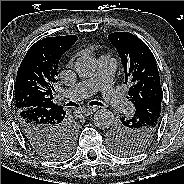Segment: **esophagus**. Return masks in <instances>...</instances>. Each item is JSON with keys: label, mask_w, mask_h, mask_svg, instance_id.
I'll return each instance as SVG.
<instances>
[{"label": "esophagus", "mask_w": 184, "mask_h": 184, "mask_svg": "<svg viewBox=\"0 0 184 184\" xmlns=\"http://www.w3.org/2000/svg\"><path fill=\"white\" fill-rule=\"evenodd\" d=\"M97 109H98L97 107L83 108V109L80 110V113L82 115L87 116V115L93 114Z\"/></svg>", "instance_id": "esophagus-1"}]
</instances>
